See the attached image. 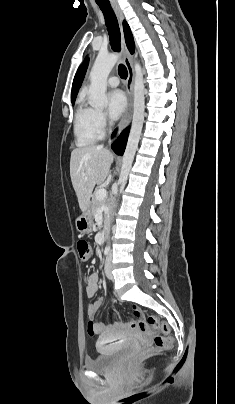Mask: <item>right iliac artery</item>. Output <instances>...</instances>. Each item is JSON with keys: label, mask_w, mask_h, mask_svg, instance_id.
I'll return each mask as SVG.
<instances>
[{"label": "right iliac artery", "mask_w": 235, "mask_h": 404, "mask_svg": "<svg viewBox=\"0 0 235 404\" xmlns=\"http://www.w3.org/2000/svg\"><path fill=\"white\" fill-rule=\"evenodd\" d=\"M109 250H110V248H109V247H106L105 250H104V255H108Z\"/></svg>", "instance_id": "82829eb1"}]
</instances>
